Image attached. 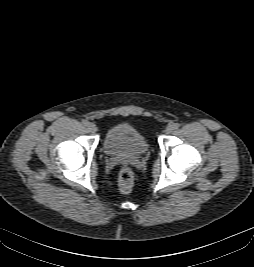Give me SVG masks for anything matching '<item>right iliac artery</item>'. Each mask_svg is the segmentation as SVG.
Wrapping results in <instances>:
<instances>
[{
  "mask_svg": "<svg viewBox=\"0 0 254 267\" xmlns=\"http://www.w3.org/2000/svg\"><path fill=\"white\" fill-rule=\"evenodd\" d=\"M88 123H89V122H88V121H86V120H83V121H82V124H83L84 126H87V125H88Z\"/></svg>",
  "mask_w": 254,
  "mask_h": 267,
  "instance_id": "obj_1",
  "label": "right iliac artery"
}]
</instances>
